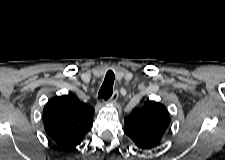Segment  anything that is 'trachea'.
Masks as SVG:
<instances>
[{
    "label": "trachea",
    "mask_w": 225,
    "mask_h": 160,
    "mask_svg": "<svg viewBox=\"0 0 225 160\" xmlns=\"http://www.w3.org/2000/svg\"><path fill=\"white\" fill-rule=\"evenodd\" d=\"M115 75L113 71H108L106 73L104 82L99 90L98 98L107 100L111 97L113 93V83H114Z\"/></svg>",
    "instance_id": "obj_1"
}]
</instances>
